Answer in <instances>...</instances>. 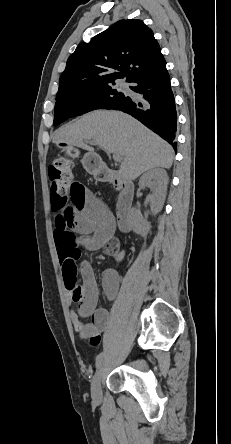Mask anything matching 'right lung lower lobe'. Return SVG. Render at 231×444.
I'll return each mask as SVG.
<instances>
[{"label": "right lung lower lobe", "mask_w": 231, "mask_h": 444, "mask_svg": "<svg viewBox=\"0 0 231 444\" xmlns=\"http://www.w3.org/2000/svg\"><path fill=\"white\" fill-rule=\"evenodd\" d=\"M133 83L137 86L130 88L141 94L142 99L135 100L126 96L110 109L122 110L132 115L168 141L176 150L177 112L166 66Z\"/></svg>", "instance_id": "obj_1"}]
</instances>
